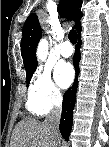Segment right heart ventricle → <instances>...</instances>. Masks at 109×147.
Returning a JSON list of instances; mask_svg holds the SVG:
<instances>
[{
	"label": "right heart ventricle",
	"mask_w": 109,
	"mask_h": 147,
	"mask_svg": "<svg viewBox=\"0 0 109 147\" xmlns=\"http://www.w3.org/2000/svg\"><path fill=\"white\" fill-rule=\"evenodd\" d=\"M27 107L29 109V111H31L33 114H36V115H41V112L40 110L38 109V107L33 104L32 102H27Z\"/></svg>",
	"instance_id": "right-heart-ventricle-1"
}]
</instances>
